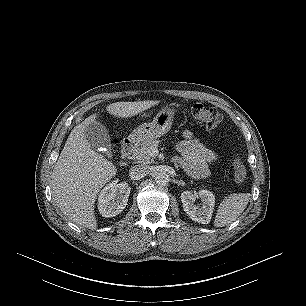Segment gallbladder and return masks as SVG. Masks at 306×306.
Segmentation results:
<instances>
[{
	"label": "gallbladder",
	"instance_id": "1",
	"mask_svg": "<svg viewBox=\"0 0 306 306\" xmlns=\"http://www.w3.org/2000/svg\"><path fill=\"white\" fill-rule=\"evenodd\" d=\"M84 134L92 149H105V151L110 149L111 139L109 132L100 122H91L85 128Z\"/></svg>",
	"mask_w": 306,
	"mask_h": 306
}]
</instances>
